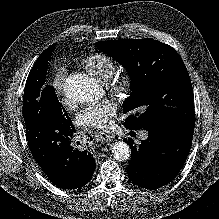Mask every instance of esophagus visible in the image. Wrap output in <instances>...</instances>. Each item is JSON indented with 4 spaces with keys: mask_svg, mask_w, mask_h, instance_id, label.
I'll list each match as a JSON object with an SVG mask.
<instances>
[{
    "mask_svg": "<svg viewBox=\"0 0 219 219\" xmlns=\"http://www.w3.org/2000/svg\"><path fill=\"white\" fill-rule=\"evenodd\" d=\"M96 137L101 141L111 140L112 136L104 131H98Z\"/></svg>",
    "mask_w": 219,
    "mask_h": 219,
    "instance_id": "esophagus-1",
    "label": "esophagus"
}]
</instances>
